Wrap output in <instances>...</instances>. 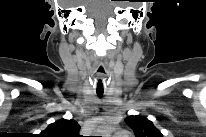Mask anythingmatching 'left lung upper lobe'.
Listing matches in <instances>:
<instances>
[{"label": "left lung upper lobe", "mask_w": 206, "mask_h": 137, "mask_svg": "<svg viewBox=\"0 0 206 137\" xmlns=\"http://www.w3.org/2000/svg\"><path fill=\"white\" fill-rule=\"evenodd\" d=\"M125 122L134 131L136 137H163L153 123L145 117L129 116Z\"/></svg>", "instance_id": "obj_1"}]
</instances>
